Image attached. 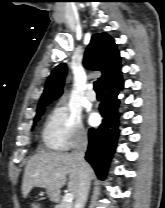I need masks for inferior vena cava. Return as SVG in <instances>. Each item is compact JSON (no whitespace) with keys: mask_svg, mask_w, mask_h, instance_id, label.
Masks as SVG:
<instances>
[{"mask_svg":"<svg viewBox=\"0 0 165 208\" xmlns=\"http://www.w3.org/2000/svg\"><path fill=\"white\" fill-rule=\"evenodd\" d=\"M87 145V135L85 133H81L77 138L72 152V157L76 163L80 179V188L76 197L74 208H84L90 188L88 166L84 159Z\"/></svg>","mask_w":165,"mask_h":208,"instance_id":"1","label":"inferior vena cava"}]
</instances>
